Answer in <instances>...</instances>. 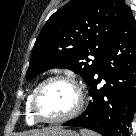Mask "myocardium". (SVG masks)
Segmentation results:
<instances>
[{
    "instance_id": "f54148a6",
    "label": "myocardium",
    "mask_w": 136,
    "mask_h": 136,
    "mask_svg": "<svg viewBox=\"0 0 136 136\" xmlns=\"http://www.w3.org/2000/svg\"><path fill=\"white\" fill-rule=\"evenodd\" d=\"M54 81H62L68 83L76 92V104L73 109L68 112L67 114L58 117V118H45L42 117L37 111V100L42 92V90L51 82ZM84 98H85V90L84 87L72 76L57 74L46 78L42 81L34 90L31 101H30V111L32 113L33 118L41 123H48V124H58L67 122L73 118H75L82 110L84 105Z\"/></svg>"
}]
</instances>
